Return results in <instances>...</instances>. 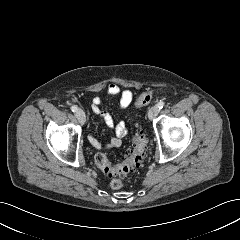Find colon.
<instances>
[{
  "label": "colon",
  "instance_id": "obj_1",
  "mask_svg": "<svg viewBox=\"0 0 240 240\" xmlns=\"http://www.w3.org/2000/svg\"><path fill=\"white\" fill-rule=\"evenodd\" d=\"M152 100L151 92L142 93L137 104L140 106L147 105ZM147 141L142 132H137L132 139V146L127 150L122 162L118 165H113L108 161L104 154H98L95 157L96 165L110 180L112 189H120L123 186L122 178L126 177L135 167L142 164L146 152Z\"/></svg>",
  "mask_w": 240,
  "mask_h": 240
}]
</instances>
